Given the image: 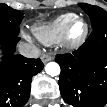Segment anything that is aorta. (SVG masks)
Wrapping results in <instances>:
<instances>
[{
  "mask_svg": "<svg viewBox=\"0 0 107 107\" xmlns=\"http://www.w3.org/2000/svg\"><path fill=\"white\" fill-rule=\"evenodd\" d=\"M45 71L50 76H57L60 74V66L56 62H49L45 66Z\"/></svg>",
  "mask_w": 107,
  "mask_h": 107,
  "instance_id": "762f6f07",
  "label": "aorta"
}]
</instances>
